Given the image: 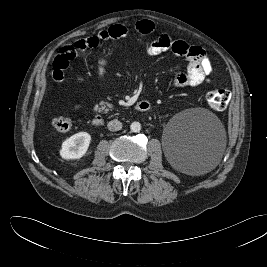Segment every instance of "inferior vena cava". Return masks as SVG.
Segmentation results:
<instances>
[{
  "label": "inferior vena cava",
  "mask_w": 267,
  "mask_h": 267,
  "mask_svg": "<svg viewBox=\"0 0 267 267\" xmlns=\"http://www.w3.org/2000/svg\"><path fill=\"white\" fill-rule=\"evenodd\" d=\"M107 127L110 131H119L122 128V123L117 119H114L107 124Z\"/></svg>",
  "instance_id": "602c4592"
}]
</instances>
